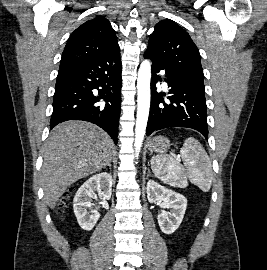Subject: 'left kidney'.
<instances>
[{
  "mask_svg": "<svg viewBox=\"0 0 267 270\" xmlns=\"http://www.w3.org/2000/svg\"><path fill=\"white\" fill-rule=\"evenodd\" d=\"M147 198L150 203L163 201L170 212L163 211L157 217L160 229L165 234L174 233L180 226L187 207V199L154 180L147 182Z\"/></svg>",
  "mask_w": 267,
  "mask_h": 270,
  "instance_id": "left-kidney-1",
  "label": "left kidney"
}]
</instances>
